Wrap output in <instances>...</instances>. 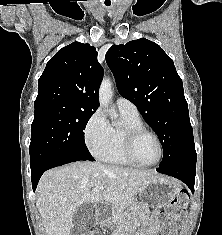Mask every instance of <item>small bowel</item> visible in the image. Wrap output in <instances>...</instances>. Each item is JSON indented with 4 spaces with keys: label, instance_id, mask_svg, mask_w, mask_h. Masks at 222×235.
<instances>
[{
    "label": "small bowel",
    "instance_id": "c3829d8e",
    "mask_svg": "<svg viewBox=\"0 0 222 235\" xmlns=\"http://www.w3.org/2000/svg\"><path fill=\"white\" fill-rule=\"evenodd\" d=\"M158 214L154 213L148 223L146 235H157L158 230ZM114 235H126L123 230L116 232Z\"/></svg>",
    "mask_w": 222,
    "mask_h": 235
}]
</instances>
